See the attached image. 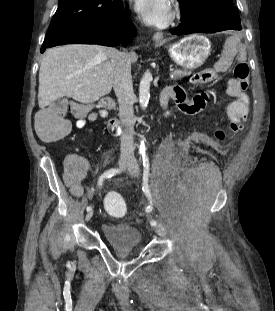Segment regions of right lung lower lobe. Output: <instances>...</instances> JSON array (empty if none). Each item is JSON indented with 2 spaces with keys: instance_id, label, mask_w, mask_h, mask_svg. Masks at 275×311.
Returning a JSON list of instances; mask_svg holds the SVG:
<instances>
[{
  "instance_id": "1",
  "label": "right lung lower lobe",
  "mask_w": 275,
  "mask_h": 311,
  "mask_svg": "<svg viewBox=\"0 0 275 311\" xmlns=\"http://www.w3.org/2000/svg\"><path fill=\"white\" fill-rule=\"evenodd\" d=\"M135 27L125 14L123 7L113 13L96 18L64 23L49 30L41 47L46 48L62 44H99L114 46L121 42L130 43L135 36Z\"/></svg>"
}]
</instances>
